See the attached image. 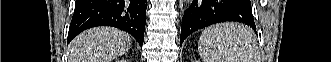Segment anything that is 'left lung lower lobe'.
Returning <instances> with one entry per match:
<instances>
[{
  "label": "left lung lower lobe",
  "mask_w": 331,
  "mask_h": 62,
  "mask_svg": "<svg viewBox=\"0 0 331 62\" xmlns=\"http://www.w3.org/2000/svg\"><path fill=\"white\" fill-rule=\"evenodd\" d=\"M225 21L241 22L255 30L250 0H193L182 19L180 46L191 33Z\"/></svg>",
  "instance_id": "0a47b994"
}]
</instances>
